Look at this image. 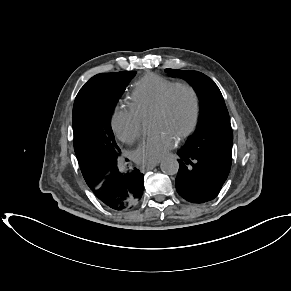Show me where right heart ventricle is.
<instances>
[{
  "label": "right heart ventricle",
  "mask_w": 291,
  "mask_h": 291,
  "mask_svg": "<svg viewBox=\"0 0 291 291\" xmlns=\"http://www.w3.org/2000/svg\"><path fill=\"white\" fill-rule=\"evenodd\" d=\"M175 82L157 74L141 77L133 86L128 106L141 120L146 119L159 107L166 91Z\"/></svg>",
  "instance_id": "e07e8e85"
}]
</instances>
